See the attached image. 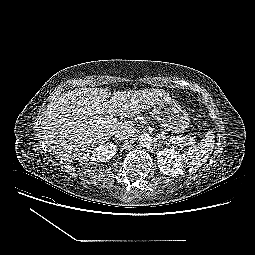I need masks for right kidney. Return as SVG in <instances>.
Wrapping results in <instances>:
<instances>
[{
  "label": "right kidney",
  "instance_id": "ca27d5eb",
  "mask_svg": "<svg viewBox=\"0 0 255 255\" xmlns=\"http://www.w3.org/2000/svg\"><path fill=\"white\" fill-rule=\"evenodd\" d=\"M117 151V146L112 143H105L99 145L92 151L90 160L96 162H107L110 160Z\"/></svg>",
  "mask_w": 255,
  "mask_h": 255
}]
</instances>
